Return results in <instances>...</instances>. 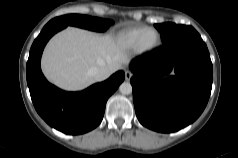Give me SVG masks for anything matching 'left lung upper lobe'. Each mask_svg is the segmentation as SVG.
I'll return each instance as SVG.
<instances>
[{
	"label": "left lung upper lobe",
	"mask_w": 238,
	"mask_h": 158,
	"mask_svg": "<svg viewBox=\"0 0 238 158\" xmlns=\"http://www.w3.org/2000/svg\"><path fill=\"white\" fill-rule=\"evenodd\" d=\"M155 27L161 33V39L163 43H166L177 36L184 35L195 30L191 26L176 25L174 23L155 24Z\"/></svg>",
	"instance_id": "1"
}]
</instances>
